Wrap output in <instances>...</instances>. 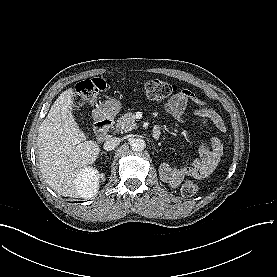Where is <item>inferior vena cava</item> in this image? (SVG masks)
Listing matches in <instances>:
<instances>
[{"label":"inferior vena cava","mask_w":277,"mask_h":277,"mask_svg":"<svg viewBox=\"0 0 277 277\" xmlns=\"http://www.w3.org/2000/svg\"><path fill=\"white\" fill-rule=\"evenodd\" d=\"M120 143V139L118 137L109 138L104 142V149L107 151L113 150Z\"/></svg>","instance_id":"obj_1"}]
</instances>
